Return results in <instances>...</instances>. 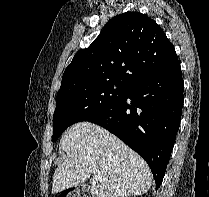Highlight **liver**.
Segmentation results:
<instances>
[{
	"instance_id": "6515ba94",
	"label": "liver",
	"mask_w": 209,
	"mask_h": 197,
	"mask_svg": "<svg viewBox=\"0 0 209 197\" xmlns=\"http://www.w3.org/2000/svg\"><path fill=\"white\" fill-rule=\"evenodd\" d=\"M59 147L67 156L54 172V194L82 184L91 175V197L140 196L151 187L153 176L143 158L96 124L72 125Z\"/></svg>"
}]
</instances>
